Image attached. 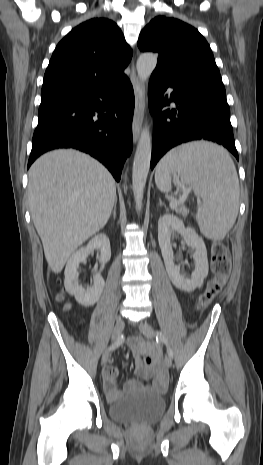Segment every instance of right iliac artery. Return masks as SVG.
Instances as JSON below:
<instances>
[{"label": "right iliac artery", "instance_id": "82829eb1", "mask_svg": "<svg viewBox=\"0 0 263 465\" xmlns=\"http://www.w3.org/2000/svg\"><path fill=\"white\" fill-rule=\"evenodd\" d=\"M123 342H124V336L121 335V336L116 340V342H114V343L109 347V351L115 350V349L118 348L120 345H122Z\"/></svg>", "mask_w": 263, "mask_h": 465}]
</instances>
